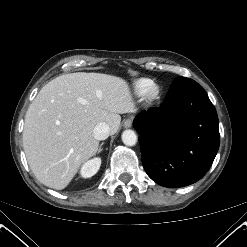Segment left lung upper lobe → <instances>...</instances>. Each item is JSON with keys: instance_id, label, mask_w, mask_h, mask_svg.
I'll list each match as a JSON object with an SVG mask.
<instances>
[{"instance_id": "5c2ea615", "label": "left lung upper lobe", "mask_w": 247, "mask_h": 247, "mask_svg": "<svg viewBox=\"0 0 247 247\" xmlns=\"http://www.w3.org/2000/svg\"><path fill=\"white\" fill-rule=\"evenodd\" d=\"M190 81H192V79H189V78H186V77H178V78L174 81V83H176V82H190Z\"/></svg>"}]
</instances>
